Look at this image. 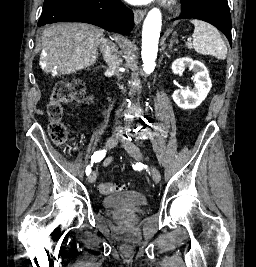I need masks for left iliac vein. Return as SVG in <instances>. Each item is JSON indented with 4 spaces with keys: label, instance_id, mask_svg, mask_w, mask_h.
I'll return each mask as SVG.
<instances>
[{
    "label": "left iliac vein",
    "instance_id": "1",
    "mask_svg": "<svg viewBox=\"0 0 256 267\" xmlns=\"http://www.w3.org/2000/svg\"><path fill=\"white\" fill-rule=\"evenodd\" d=\"M122 145L124 147V149L135 159V160H142L143 159V155L141 153V151L139 150V148L128 142L125 140H122ZM153 180L155 183H159L161 180V175L158 172V170L156 168L153 169Z\"/></svg>",
    "mask_w": 256,
    "mask_h": 267
}]
</instances>
